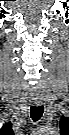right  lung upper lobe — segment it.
<instances>
[{"instance_id":"right-lung-upper-lobe-1","label":"right lung upper lobe","mask_w":69,"mask_h":135,"mask_svg":"<svg viewBox=\"0 0 69 135\" xmlns=\"http://www.w3.org/2000/svg\"><path fill=\"white\" fill-rule=\"evenodd\" d=\"M4 129H12V124H11V122H8L7 124H5V126H4Z\"/></svg>"}]
</instances>
